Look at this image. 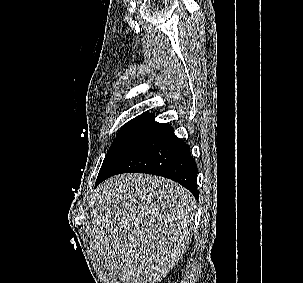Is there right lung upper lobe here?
I'll list each match as a JSON object with an SVG mask.
<instances>
[{"label": "right lung upper lobe", "instance_id": "right-lung-upper-lobe-1", "mask_svg": "<svg viewBox=\"0 0 303 283\" xmlns=\"http://www.w3.org/2000/svg\"><path fill=\"white\" fill-rule=\"evenodd\" d=\"M142 116L154 117L153 114H151V113H144Z\"/></svg>", "mask_w": 303, "mask_h": 283}]
</instances>
